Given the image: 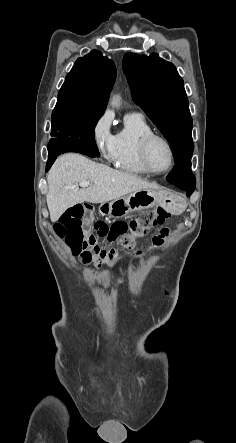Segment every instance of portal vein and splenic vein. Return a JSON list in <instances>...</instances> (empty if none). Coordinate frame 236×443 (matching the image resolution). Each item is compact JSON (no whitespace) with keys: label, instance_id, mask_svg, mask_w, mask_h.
Here are the masks:
<instances>
[{"label":"portal vein and splenic vein","instance_id":"obj_1","mask_svg":"<svg viewBox=\"0 0 236 443\" xmlns=\"http://www.w3.org/2000/svg\"><path fill=\"white\" fill-rule=\"evenodd\" d=\"M89 185H90V182H89V181H82V182L79 183V185L77 184V185L73 186V188H78V186L83 187V188H86V187H88Z\"/></svg>","mask_w":236,"mask_h":443}]
</instances>
